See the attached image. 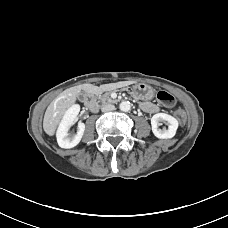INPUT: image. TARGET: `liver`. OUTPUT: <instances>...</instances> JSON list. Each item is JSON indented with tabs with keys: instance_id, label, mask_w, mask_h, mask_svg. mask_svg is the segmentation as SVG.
I'll list each match as a JSON object with an SVG mask.
<instances>
[{
	"instance_id": "liver-1",
	"label": "liver",
	"mask_w": 228,
	"mask_h": 228,
	"mask_svg": "<svg viewBox=\"0 0 228 228\" xmlns=\"http://www.w3.org/2000/svg\"><path fill=\"white\" fill-rule=\"evenodd\" d=\"M133 82H119L109 85H102L100 87L92 84H82L74 86L64 90L60 93L47 107L44 119L43 129L49 136H53L61 120L63 119L66 111L76 102V99L81 91L94 95L100 94L105 90H109L115 87H121L123 85H129Z\"/></svg>"
}]
</instances>
